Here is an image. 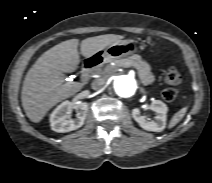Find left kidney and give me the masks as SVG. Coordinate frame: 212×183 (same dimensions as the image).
<instances>
[{"label":"left kidney","instance_id":"5707ae66","mask_svg":"<svg viewBox=\"0 0 212 183\" xmlns=\"http://www.w3.org/2000/svg\"><path fill=\"white\" fill-rule=\"evenodd\" d=\"M151 109L155 112L154 120H146V118L140 114V110L138 108H134L132 110V116L144 130L161 132L166 127V114L168 108L162 101L155 100L151 104Z\"/></svg>","mask_w":212,"mask_h":183}]
</instances>
